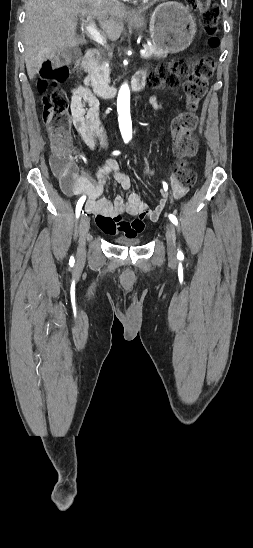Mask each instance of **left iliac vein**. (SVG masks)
I'll return each instance as SVG.
<instances>
[{
  "instance_id": "obj_1",
  "label": "left iliac vein",
  "mask_w": 253,
  "mask_h": 548,
  "mask_svg": "<svg viewBox=\"0 0 253 548\" xmlns=\"http://www.w3.org/2000/svg\"><path fill=\"white\" fill-rule=\"evenodd\" d=\"M166 241H167V252L170 259H175L176 257V234L175 229L172 223H167L166 225Z\"/></svg>"
}]
</instances>
